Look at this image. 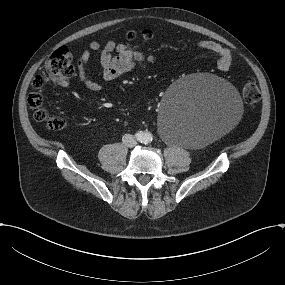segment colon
<instances>
[{
  "mask_svg": "<svg viewBox=\"0 0 285 285\" xmlns=\"http://www.w3.org/2000/svg\"><path fill=\"white\" fill-rule=\"evenodd\" d=\"M138 36L144 39H151L153 32L151 30H143L141 33L130 31L127 37L131 40ZM74 66L72 64L71 52L66 47H60L55 50L45 64V74L37 75L32 81L34 91L28 96V103L35 110L34 117L38 121H45L48 127L52 130H62L67 123L64 118L58 116H50L47 110L43 107V97L40 89L43 87L46 79L51 80L56 84H62L74 75ZM242 95L248 105L256 104L261 97L259 87L254 82L245 84L242 90Z\"/></svg>",
  "mask_w": 285,
  "mask_h": 285,
  "instance_id": "obj_1",
  "label": "colon"
}]
</instances>
